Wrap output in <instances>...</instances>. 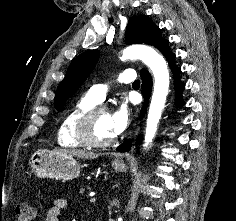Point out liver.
<instances>
[{
  "instance_id": "obj_1",
  "label": "liver",
  "mask_w": 236,
  "mask_h": 221,
  "mask_svg": "<svg viewBox=\"0 0 236 221\" xmlns=\"http://www.w3.org/2000/svg\"><path fill=\"white\" fill-rule=\"evenodd\" d=\"M55 152L75 156L82 159H96L100 156V154L86 152L84 150H57Z\"/></svg>"
}]
</instances>
